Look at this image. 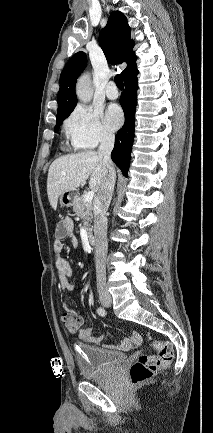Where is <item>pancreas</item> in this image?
Here are the masks:
<instances>
[{
	"label": "pancreas",
	"mask_w": 213,
	"mask_h": 433,
	"mask_svg": "<svg viewBox=\"0 0 213 433\" xmlns=\"http://www.w3.org/2000/svg\"><path fill=\"white\" fill-rule=\"evenodd\" d=\"M73 210L78 217L83 219L84 226L87 228L88 235L91 237L92 236V228H91L90 224H91V221L93 218L92 203L86 202L84 200V196H77L74 199Z\"/></svg>",
	"instance_id": "1"
}]
</instances>
